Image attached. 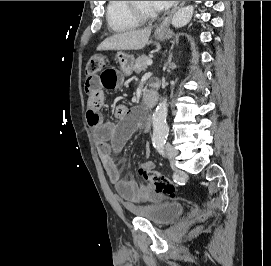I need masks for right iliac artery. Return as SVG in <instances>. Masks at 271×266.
<instances>
[{
    "label": "right iliac artery",
    "instance_id": "obj_1",
    "mask_svg": "<svg viewBox=\"0 0 271 266\" xmlns=\"http://www.w3.org/2000/svg\"><path fill=\"white\" fill-rule=\"evenodd\" d=\"M158 143L154 144V147H157Z\"/></svg>",
    "mask_w": 271,
    "mask_h": 266
}]
</instances>
